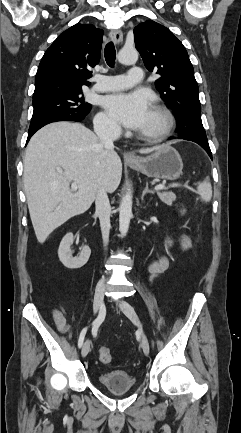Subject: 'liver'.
<instances>
[{"label":"liver","instance_id":"liver-1","mask_svg":"<svg viewBox=\"0 0 241 433\" xmlns=\"http://www.w3.org/2000/svg\"><path fill=\"white\" fill-rule=\"evenodd\" d=\"M121 177L114 147L102 145L84 125L55 122L37 131L26 149L23 182L38 242L43 244L56 228L86 212L99 188L113 193ZM70 182L78 185L77 192L70 190Z\"/></svg>","mask_w":241,"mask_h":433}]
</instances>
